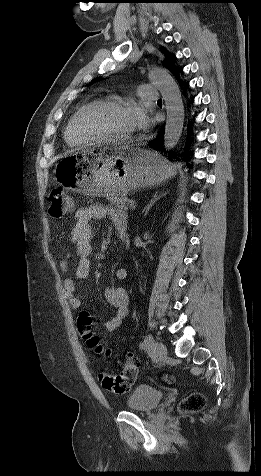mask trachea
<instances>
[{
    "mask_svg": "<svg viewBox=\"0 0 261 476\" xmlns=\"http://www.w3.org/2000/svg\"><path fill=\"white\" fill-rule=\"evenodd\" d=\"M158 102H162V99H159Z\"/></svg>",
    "mask_w": 261,
    "mask_h": 476,
    "instance_id": "trachea-1",
    "label": "trachea"
}]
</instances>
